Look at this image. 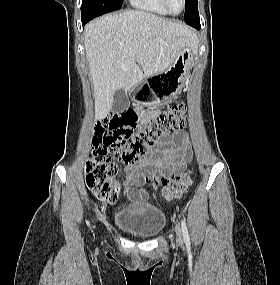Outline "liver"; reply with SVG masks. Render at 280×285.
I'll list each match as a JSON object with an SVG mask.
<instances>
[{"mask_svg":"<svg viewBox=\"0 0 280 285\" xmlns=\"http://www.w3.org/2000/svg\"><path fill=\"white\" fill-rule=\"evenodd\" d=\"M193 29L152 13L109 14L85 26L84 46L95 98V118L112 109L115 91L129 92L165 71L184 47L196 46Z\"/></svg>","mask_w":280,"mask_h":285,"instance_id":"liver-1","label":"liver"}]
</instances>
